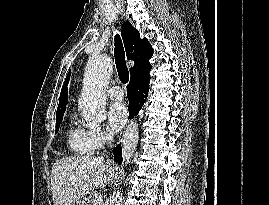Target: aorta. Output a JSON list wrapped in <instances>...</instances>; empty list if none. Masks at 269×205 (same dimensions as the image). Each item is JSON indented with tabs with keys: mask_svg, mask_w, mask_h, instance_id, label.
<instances>
[{
	"mask_svg": "<svg viewBox=\"0 0 269 205\" xmlns=\"http://www.w3.org/2000/svg\"><path fill=\"white\" fill-rule=\"evenodd\" d=\"M113 69L109 56H91L87 62L79 108L90 128L98 127L106 119L105 89ZM139 140L138 124L131 122L123 135L122 156L125 164L130 162ZM109 205H123V194L117 190L109 198Z\"/></svg>",
	"mask_w": 269,
	"mask_h": 205,
	"instance_id": "aorta-1",
	"label": "aorta"
}]
</instances>
